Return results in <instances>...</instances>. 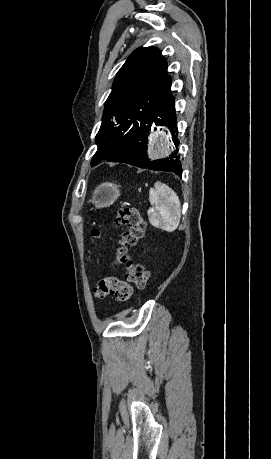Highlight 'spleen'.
Segmentation results:
<instances>
[{
  "instance_id": "obj_1",
  "label": "spleen",
  "mask_w": 271,
  "mask_h": 459,
  "mask_svg": "<svg viewBox=\"0 0 271 459\" xmlns=\"http://www.w3.org/2000/svg\"><path fill=\"white\" fill-rule=\"evenodd\" d=\"M149 202L154 208L148 210L149 222L155 228L174 231L180 224V200L166 184L156 182L154 188L149 190Z\"/></svg>"
}]
</instances>
